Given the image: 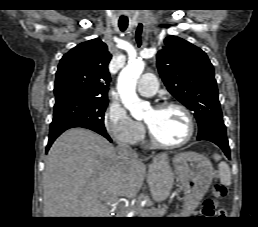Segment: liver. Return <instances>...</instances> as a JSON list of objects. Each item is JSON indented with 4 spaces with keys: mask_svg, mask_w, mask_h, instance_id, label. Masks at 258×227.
Masks as SVG:
<instances>
[{
    "mask_svg": "<svg viewBox=\"0 0 258 227\" xmlns=\"http://www.w3.org/2000/svg\"><path fill=\"white\" fill-rule=\"evenodd\" d=\"M146 178L152 198L170 195L174 173L167 154L148 171L138 159H124L102 136L83 128L65 131L51 146L43 173L44 217H107L104 202L133 198Z\"/></svg>",
    "mask_w": 258,
    "mask_h": 227,
    "instance_id": "1",
    "label": "liver"
}]
</instances>
